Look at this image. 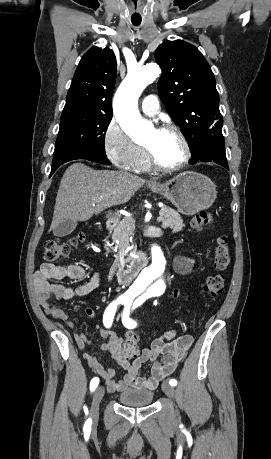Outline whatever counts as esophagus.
I'll return each mask as SVG.
<instances>
[{"label":"esophagus","mask_w":271,"mask_h":459,"mask_svg":"<svg viewBox=\"0 0 271 459\" xmlns=\"http://www.w3.org/2000/svg\"><path fill=\"white\" fill-rule=\"evenodd\" d=\"M156 184H157V182H156L155 179H150V180L148 181V185H156Z\"/></svg>","instance_id":"esophagus-1"}]
</instances>
